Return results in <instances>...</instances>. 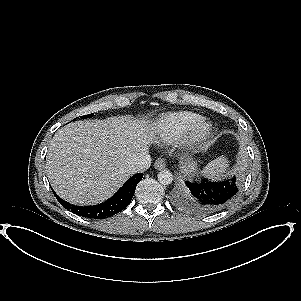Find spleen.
Returning a JSON list of instances; mask_svg holds the SVG:
<instances>
[{
	"instance_id": "spleen-1",
	"label": "spleen",
	"mask_w": 301,
	"mask_h": 301,
	"mask_svg": "<svg viewBox=\"0 0 301 301\" xmlns=\"http://www.w3.org/2000/svg\"><path fill=\"white\" fill-rule=\"evenodd\" d=\"M229 161L226 156H220L213 161H211L205 168L203 169L204 175H206L209 179L217 180L224 176L228 166Z\"/></svg>"
}]
</instances>
